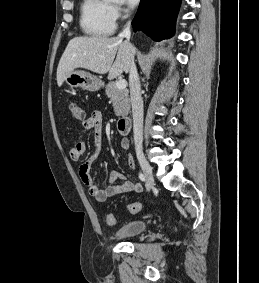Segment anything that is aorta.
<instances>
[{"instance_id": "obj_1", "label": "aorta", "mask_w": 259, "mask_h": 283, "mask_svg": "<svg viewBox=\"0 0 259 283\" xmlns=\"http://www.w3.org/2000/svg\"><path fill=\"white\" fill-rule=\"evenodd\" d=\"M105 2H123L124 0H104Z\"/></svg>"}]
</instances>
